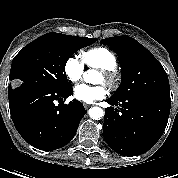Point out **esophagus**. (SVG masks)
<instances>
[{
	"mask_svg": "<svg viewBox=\"0 0 178 178\" xmlns=\"http://www.w3.org/2000/svg\"><path fill=\"white\" fill-rule=\"evenodd\" d=\"M92 105L91 104H84V107H85V109H88V108H90Z\"/></svg>",
	"mask_w": 178,
	"mask_h": 178,
	"instance_id": "esophagus-1",
	"label": "esophagus"
}]
</instances>
